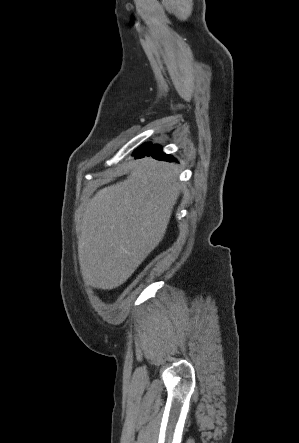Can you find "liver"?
I'll list each match as a JSON object with an SVG mask.
<instances>
[{"instance_id": "obj_1", "label": "liver", "mask_w": 299, "mask_h": 443, "mask_svg": "<svg viewBox=\"0 0 299 443\" xmlns=\"http://www.w3.org/2000/svg\"><path fill=\"white\" fill-rule=\"evenodd\" d=\"M174 164L144 158L124 181L99 190L82 214L78 243L83 280L122 285L162 241L180 194Z\"/></svg>"}]
</instances>
